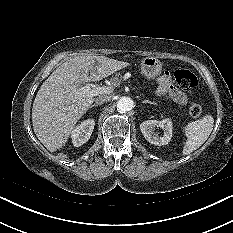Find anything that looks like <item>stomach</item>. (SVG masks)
Wrapping results in <instances>:
<instances>
[{"label":"stomach","instance_id":"1","mask_svg":"<svg viewBox=\"0 0 233 233\" xmlns=\"http://www.w3.org/2000/svg\"><path fill=\"white\" fill-rule=\"evenodd\" d=\"M162 71V63L156 57H146L141 60V72L148 78L153 79L160 75Z\"/></svg>","mask_w":233,"mask_h":233}]
</instances>
